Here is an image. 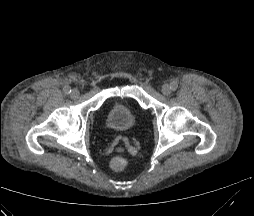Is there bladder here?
<instances>
[{"label": "bladder", "instance_id": "1", "mask_svg": "<svg viewBox=\"0 0 254 216\" xmlns=\"http://www.w3.org/2000/svg\"><path fill=\"white\" fill-rule=\"evenodd\" d=\"M137 118L134 105L125 101H111L106 111V124L115 131H126L130 129Z\"/></svg>", "mask_w": 254, "mask_h": 216}]
</instances>
